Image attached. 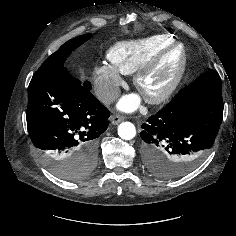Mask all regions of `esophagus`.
Returning <instances> with one entry per match:
<instances>
[{
    "label": "esophagus",
    "instance_id": "obj_1",
    "mask_svg": "<svg viewBox=\"0 0 236 236\" xmlns=\"http://www.w3.org/2000/svg\"><path fill=\"white\" fill-rule=\"evenodd\" d=\"M124 120V117L123 116H120V115H115V116H112L111 117V123L113 125H117L118 123H120L121 121Z\"/></svg>",
    "mask_w": 236,
    "mask_h": 236
}]
</instances>
